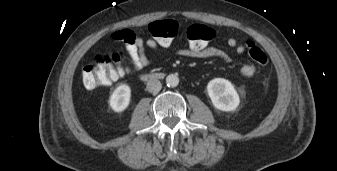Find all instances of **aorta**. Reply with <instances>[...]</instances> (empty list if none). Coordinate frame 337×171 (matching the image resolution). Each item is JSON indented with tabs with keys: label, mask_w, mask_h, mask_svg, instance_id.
<instances>
[{
	"label": "aorta",
	"mask_w": 337,
	"mask_h": 171,
	"mask_svg": "<svg viewBox=\"0 0 337 171\" xmlns=\"http://www.w3.org/2000/svg\"><path fill=\"white\" fill-rule=\"evenodd\" d=\"M166 84L168 87H176L179 84V78L175 74H169L166 77Z\"/></svg>",
	"instance_id": "762f6f07"
}]
</instances>
